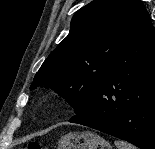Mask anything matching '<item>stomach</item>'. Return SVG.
Masks as SVG:
<instances>
[{"label":"stomach","instance_id":"0dacf381","mask_svg":"<svg viewBox=\"0 0 155 149\" xmlns=\"http://www.w3.org/2000/svg\"><path fill=\"white\" fill-rule=\"evenodd\" d=\"M58 149H112L102 137L91 131L70 132L59 140Z\"/></svg>","mask_w":155,"mask_h":149}]
</instances>
